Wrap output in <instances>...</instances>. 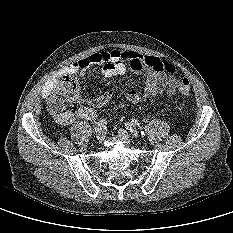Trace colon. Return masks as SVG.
<instances>
[{
    "label": "colon",
    "mask_w": 233,
    "mask_h": 233,
    "mask_svg": "<svg viewBox=\"0 0 233 233\" xmlns=\"http://www.w3.org/2000/svg\"><path fill=\"white\" fill-rule=\"evenodd\" d=\"M169 72H175V68L169 66L166 68ZM177 88L182 95H189L190 82L186 77L177 80ZM79 97V86L72 76H66L59 80L53 96V107L55 109H64L69 102H74Z\"/></svg>",
    "instance_id": "colon-1"
}]
</instances>
